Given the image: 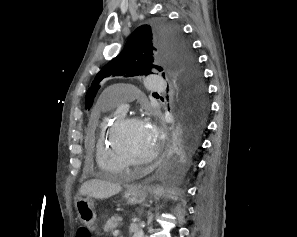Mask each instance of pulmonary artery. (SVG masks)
Here are the masks:
<instances>
[{"label": "pulmonary artery", "mask_w": 297, "mask_h": 237, "mask_svg": "<svg viewBox=\"0 0 297 237\" xmlns=\"http://www.w3.org/2000/svg\"><path fill=\"white\" fill-rule=\"evenodd\" d=\"M146 84L151 91H163L166 85L160 76H151L146 79ZM133 98V91L129 88L123 89L117 96H113L107 100L109 107L115 106L125 110L128 103Z\"/></svg>", "instance_id": "pulmonary-artery-1"}]
</instances>
